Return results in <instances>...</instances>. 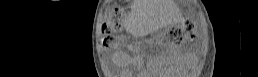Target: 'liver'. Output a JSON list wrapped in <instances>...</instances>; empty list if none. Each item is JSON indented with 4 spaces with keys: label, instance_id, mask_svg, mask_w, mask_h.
I'll list each match as a JSON object with an SVG mask.
<instances>
[{
    "label": "liver",
    "instance_id": "6515ba94",
    "mask_svg": "<svg viewBox=\"0 0 258 77\" xmlns=\"http://www.w3.org/2000/svg\"><path fill=\"white\" fill-rule=\"evenodd\" d=\"M134 10L136 11V14H139L140 8L137 6V2L135 3Z\"/></svg>",
    "mask_w": 258,
    "mask_h": 77
}]
</instances>
